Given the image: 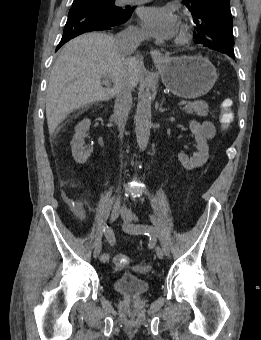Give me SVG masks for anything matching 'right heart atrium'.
Listing matches in <instances>:
<instances>
[{
    "label": "right heart atrium",
    "instance_id": "1",
    "mask_svg": "<svg viewBox=\"0 0 261 340\" xmlns=\"http://www.w3.org/2000/svg\"><path fill=\"white\" fill-rule=\"evenodd\" d=\"M128 33L131 34V35H135V36H141L142 35V31L138 27H131L128 30Z\"/></svg>",
    "mask_w": 261,
    "mask_h": 340
}]
</instances>
